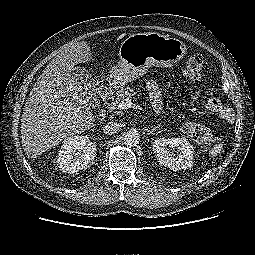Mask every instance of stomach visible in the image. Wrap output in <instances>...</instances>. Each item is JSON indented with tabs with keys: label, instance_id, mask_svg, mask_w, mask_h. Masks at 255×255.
I'll list each match as a JSON object with an SVG mask.
<instances>
[{
	"label": "stomach",
	"instance_id": "1",
	"mask_svg": "<svg viewBox=\"0 0 255 255\" xmlns=\"http://www.w3.org/2000/svg\"><path fill=\"white\" fill-rule=\"evenodd\" d=\"M186 45L156 32L130 35L120 45V61L112 67L108 82L119 88L144 76L152 67H172L186 55Z\"/></svg>",
	"mask_w": 255,
	"mask_h": 255
}]
</instances>
